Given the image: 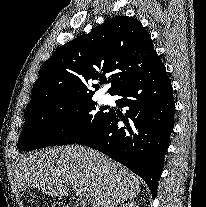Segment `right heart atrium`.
<instances>
[{"label":"right heart atrium","mask_w":206,"mask_h":207,"mask_svg":"<svg viewBox=\"0 0 206 207\" xmlns=\"http://www.w3.org/2000/svg\"><path fill=\"white\" fill-rule=\"evenodd\" d=\"M78 118V115L77 114H71L69 117H68V122H74L76 119Z\"/></svg>","instance_id":"right-heart-atrium-1"}]
</instances>
